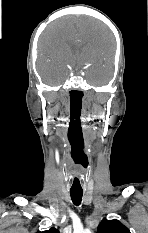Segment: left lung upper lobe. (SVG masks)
<instances>
[{
    "mask_svg": "<svg viewBox=\"0 0 148 233\" xmlns=\"http://www.w3.org/2000/svg\"><path fill=\"white\" fill-rule=\"evenodd\" d=\"M97 233H130V230L116 219L102 220Z\"/></svg>",
    "mask_w": 148,
    "mask_h": 233,
    "instance_id": "left-lung-upper-lobe-1",
    "label": "left lung upper lobe"
}]
</instances>
